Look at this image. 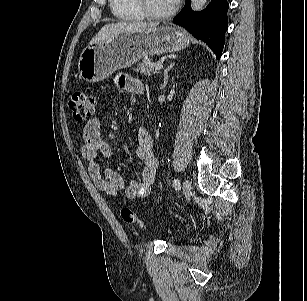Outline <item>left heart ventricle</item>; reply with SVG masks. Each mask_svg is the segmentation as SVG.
Segmentation results:
<instances>
[{
	"label": "left heart ventricle",
	"mask_w": 307,
	"mask_h": 301,
	"mask_svg": "<svg viewBox=\"0 0 307 301\" xmlns=\"http://www.w3.org/2000/svg\"><path fill=\"white\" fill-rule=\"evenodd\" d=\"M150 9L156 13H164L170 10L173 5V0H147Z\"/></svg>",
	"instance_id": "1"
}]
</instances>
